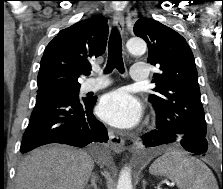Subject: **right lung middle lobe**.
Here are the masks:
<instances>
[{
  "mask_svg": "<svg viewBox=\"0 0 223 189\" xmlns=\"http://www.w3.org/2000/svg\"><path fill=\"white\" fill-rule=\"evenodd\" d=\"M38 95H60V96H73L79 98V88H59L43 93H38Z\"/></svg>",
  "mask_w": 223,
  "mask_h": 189,
  "instance_id": "right-lung-middle-lobe-1",
  "label": "right lung middle lobe"
}]
</instances>
